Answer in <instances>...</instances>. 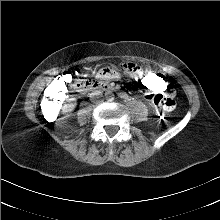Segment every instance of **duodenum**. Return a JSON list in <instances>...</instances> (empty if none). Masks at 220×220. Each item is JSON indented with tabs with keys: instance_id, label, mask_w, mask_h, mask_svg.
I'll use <instances>...</instances> for the list:
<instances>
[{
	"instance_id": "duodenum-1",
	"label": "duodenum",
	"mask_w": 220,
	"mask_h": 220,
	"mask_svg": "<svg viewBox=\"0 0 220 220\" xmlns=\"http://www.w3.org/2000/svg\"><path fill=\"white\" fill-rule=\"evenodd\" d=\"M72 86L77 91H87V90L96 88L95 86H88L86 84V81H83V80L75 81Z\"/></svg>"
}]
</instances>
